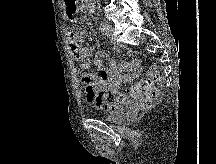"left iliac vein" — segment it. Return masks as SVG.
I'll return each instance as SVG.
<instances>
[{"label":"left iliac vein","instance_id":"4c4485c4","mask_svg":"<svg viewBox=\"0 0 216 164\" xmlns=\"http://www.w3.org/2000/svg\"><path fill=\"white\" fill-rule=\"evenodd\" d=\"M107 28H108V30L106 32V36L109 37L110 39H112L113 38V31H114L113 26L107 25Z\"/></svg>","mask_w":216,"mask_h":164}]
</instances>
